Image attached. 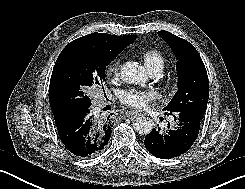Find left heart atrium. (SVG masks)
<instances>
[{
  "mask_svg": "<svg viewBox=\"0 0 245 189\" xmlns=\"http://www.w3.org/2000/svg\"><path fill=\"white\" fill-rule=\"evenodd\" d=\"M153 97L154 93L152 91H146L135 87L124 89L119 93L121 102L132 108L144 107Z\"/></svg>",
  "mask_w": 245,
  "mask_h": 189,
  "instance_id": "left-heart-atrium-1",
  "label": "left heart atrium"
}]
</instances>
